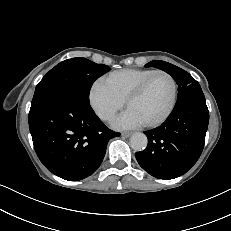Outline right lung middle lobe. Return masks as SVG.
I'll return each mask as SVG.
<instances>
[{
    "label": "right lung middle lobe",
    "instance_id": "right-lung-middle-lobe-1",
    "mask_svg": "<svg viewBox=\"0 0 231 231\" xmlns=\"http://www.w3.org/2000/svg\"><path fill=\"white\" fill-rule=\"evenodd\" d=\"M110 68L86 58L65 60L51 69L36 86L31 109L36 108L51 96L67 92L89 101L93 82Z\"/></svg>",
    "mask_w": 231,
    "mask_h": 231
}]
</instances>
